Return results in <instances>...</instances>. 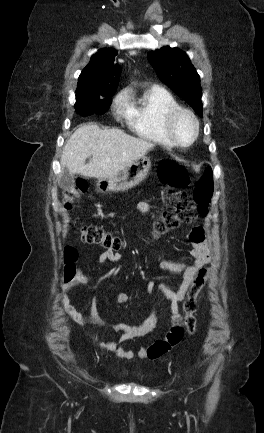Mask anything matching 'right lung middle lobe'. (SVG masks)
Returning <instances> with one entry per match:
<instances>
[{"instance_id": "obj_1", "label": "right lung middle lobe", "mask_w": 264, "mask_h": 433, "mask_svg": "<svg viewBox=\"0 0 264 433\" xmlns=\"http://www.w3.org/2000/svg\"><path fill=\"white\" fill-rule=\"evenodd\" d=\"M113 94H106L96 98H81L75 104V109L82 116L92 114H103L106 112L112 102L111 96Z\"/></svg>"}]
</instances>
